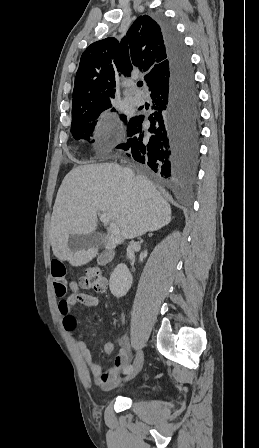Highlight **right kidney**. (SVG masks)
Listing matches in <instances>:
<instances>
[{
    "label": "right kidney",
    "mask_w": 259,
    "mask_h": 448,
    "mask_svg": "<svg viewBox=\"0 0 259 448\" xmlns=\"http://www.w3.org/2000/svg\"><path fill=\"white\" fill-rule=\"evenodd\" d=\"M133 278L126 264H118L110 276L109 288L116 298L126 296L132 286Z\"/></svg>",
    "instance_id": "ca27d5eb"
}]
</instances>
